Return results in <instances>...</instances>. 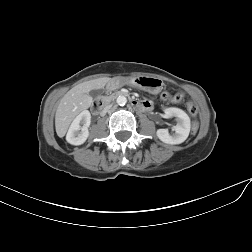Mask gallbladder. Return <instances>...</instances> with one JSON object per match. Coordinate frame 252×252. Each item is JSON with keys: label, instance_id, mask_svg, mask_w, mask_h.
<instances>
[{"label": "gallbladder", "instance_id": "1", "mask_svg": "<svg viewBox=\"0 0 252 252\" xmlns=\"http://www.w3.org/2000/svg\"><path fill=\"white\" fill-rule=\"evenodd\" d=\"M102 93V90H92L91 92H90V95L92 96V97H97V96H99L100 94Z\"/></svg>", "mask_w": 252, "mask_h": 252}]
</instances>
